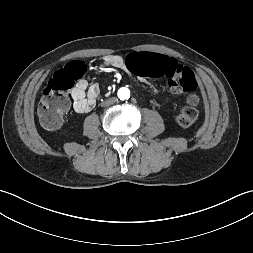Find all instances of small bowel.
Segmentation results:
<instances>
[{
  "mask_svg": "<svg viewBox=\"0 0 253 253\" xmlns=\"http://www.w3.org/2000/svg\"><path fill=\"white\" fill-rule=\"evenodd\" d=\"M127 57L123 58L122 56L116 54L105 55L102 59V64L109 68L130 71L135 74L127 66ZM140 78L145 81L147 77ZM99 94L100 89L98 85H89L85 79L79 80L71 92L74 110L78 113H87L91 111L96 105Z\"/></svg>",
  "mask_w": 253,
  "mask_h": 253,
  "instance_id": "c3829d8e",
  "label": "small bowel"
}]
</instances>
